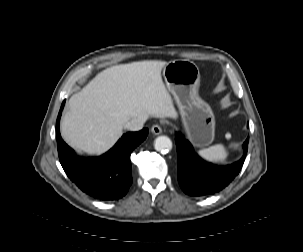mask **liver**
I'll use <instances>...</instances> for the list:
<instances>
[{
  "label": "liver",
  "instance_id": "obj_1",
  "mask_svg": "<svg viewBox=\"0 0 303 252\" xmlns=\"http://www.w3.org/2000/svg\"><path fill=\"white\" fill-rule=\"evenodd\" d=\"M165 61L115 65L97 74L71 96L61 122V135L88 154H102L121 137L125 124L150 116L177 115L161 77Z\"/></svg>",
  "mask_w": 303,
  "mask_h": 252
}]
</instances>
